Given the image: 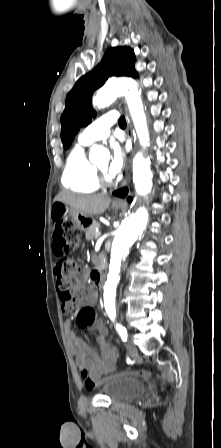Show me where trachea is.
Returning <instances> with one entry per match:
<instances>
[{"label":"trachea","mask_w":221,"mask_h":448,"mask_svg":"<svg viewBox=\"0 0 221 448\" xmlns=\"http://www.w3.org/2000/svg\"><path fill=\"white\" fill-rule=\"evenodd\" d=\"M118 124H119V126H121V127L126 126V120H125V117H124V116H121V117L119 118Z\"/></svg>","instance_id":"1"}]
</instances>
